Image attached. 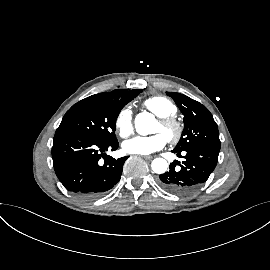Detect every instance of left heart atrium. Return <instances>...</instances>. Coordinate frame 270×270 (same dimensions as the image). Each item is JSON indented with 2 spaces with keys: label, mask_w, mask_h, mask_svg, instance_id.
Masks as SVG:
<instances>
[{
  "label": "left heart atrium",
  "mask_w": 270,
  "mask_h": 270,
  "mask_svg": "<svg viewBox=\"0 0 270 270\" xmlns=\"http://www.w3.org/2000/svg\"><path fill=\"white\" fill-rule=\"evenodd\" d=\"M167 138L162 133L136 136L124 142L123 148L130 154L149 155L165 147Z\"/></svg>",
  "instance_id": "obj_1"
}]
</instances>
